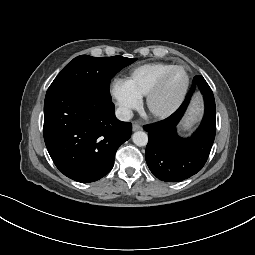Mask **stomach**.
Instances as JSON below:
<instances>
[{
  "label": "stomach",
  "instance_id": "1",
  "mask_svg": "<svg viewBox=\"0 0 255 255\" xmlns=\"http://www.w3.org/2000/svg\"><path fill=\"white\" fill-rule=\"evenodd\" d=\"M200 112H201V101L196 96V97H194V99L190 105V108L187 112V115L181 124V129L183 131L189 130L193 126L195 121L197 120L198 116L200 115Z\"/></svg>",
  "mask_w": 255,
  "mask_h": 255
}]
</instances>
